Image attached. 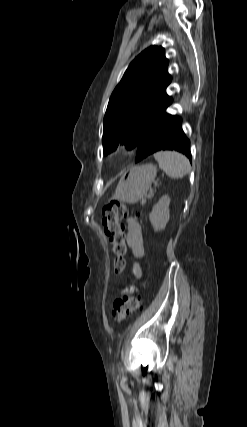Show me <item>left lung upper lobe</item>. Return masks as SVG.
I'll return each instance as SVG.
<instances>
[{
	"instance_id": "obj_1",
	"label": "left lung upper lobe",
	"mask_w": 247,
	"mask_h": 427,
	"mask_svg": "<svg viewBox=\"0 0 247 427\" xmlns=\"http://www.w3.org/2000/svg\"><path fill=\"white\" fill-rule=\"evenodd\" d=\"M162 47L151 46L129 65L113 91L104 116L103 151L119 143L127 149L139 145L147 128L166 110L172 99L166 94L171 82Z\"/></svg>"
}]
</instances>
